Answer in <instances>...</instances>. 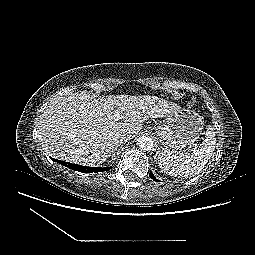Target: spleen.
Returning <instances> with one entry per match:
<instances>
[{"label": "spleen", "mask_w": 255, "mask_h": 255, "mask_svg": "<svg viewBox=\"0 0 255 255\" xmlns=\"http://www.w3.org/2000/svg\"><path fill=\"white\" fill-rule=\"evenodd\" d=\"M215 145L214 128L209 126L206 130L204 141L191 154L165 149L159 155V166L171 176H193L198 174L211 159Z\"/></svg>", "instance_id": "3e777b00"}]
</instances>
